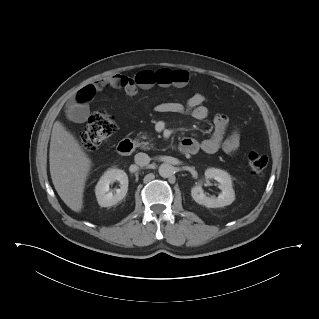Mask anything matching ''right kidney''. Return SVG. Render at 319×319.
Segmentation results:
<instances>
[{
	"instance_id": "right-kidney-1",
	"label": "right kidney",
	"mask_w": 319,
	"mask_h": 319,
	"mask_svg": "<svg viewBox=\"0 0 319 319\" xmlns=\"http://www.w3.org/2000/svg\"><path fill=\"white\" fill-rule=\"evenodd\" d=\"M118 181L120 188L114 193L109 192V185ZM128 191V176L125 171L117 168L108 169L98 181L95 194L101 207H110L121 201Z\"/></svg>"
}]
</instances>
